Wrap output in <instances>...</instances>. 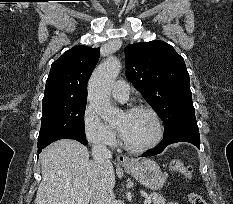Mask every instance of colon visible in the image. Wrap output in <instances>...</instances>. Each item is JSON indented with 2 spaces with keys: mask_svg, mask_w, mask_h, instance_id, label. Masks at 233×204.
<instances>
[{
  "mask_svg": "<svg viewBox=\"0 0 233 204\" xmlns=\"http://www.w3.org/2000/svg\"><path fill=\"white\" fill-rule=\"evenodd\" d=\"M169 168L174 173H180L187 178L192 177V168L191 166L185 164L181 160H172L169 164ZM188 199L191 204H207L206 201L197 193L190 192L188 195Z\"/></svg>",
  "mask_w": 233,
  "mask_h": 204,
  "instance_id": "colon-1",
  "label": "colon"
}]
</instances>
